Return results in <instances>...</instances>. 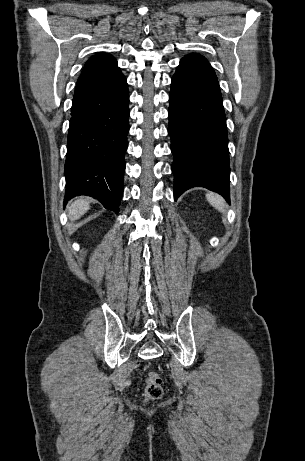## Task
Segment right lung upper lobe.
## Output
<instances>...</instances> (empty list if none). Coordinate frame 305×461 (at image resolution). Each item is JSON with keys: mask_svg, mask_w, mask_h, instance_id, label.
I'll list each match as a JSON object with an SVG mask.
<instances>
[{"mask_svg": "<svg viewBox=\"0 0 305 461\" xmlns=\"http://www.w3.org/2000/svg\"><path fill=\"white\" fill-rule=\"evenodd\" d=\"M120 72L116 59L111 54L100 52L86 62L77 84L103 81Z\"/></svg>", "mask_w": 305, "mask_h": 461, "instance_id": "cb5924a9", "label": "right lung upper lobe"}]
</instances>
